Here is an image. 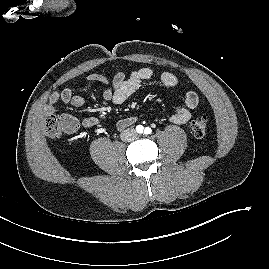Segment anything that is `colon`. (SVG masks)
I'll list each match as a JSON object with an SVG mask.
<instances>
[{"mask_svg": "<svg viewBox=\"0 0 269 269\" xmlns=\"http://www.w3.org/2000/svg\"><path fill=\"white\" fill-rule=\"evenodd\" d=\"M208 119L205 115L198 116L191 122V130L195 137L201 138L206 134ZM75 122L70 115L57 116L49 113L45 117V132L48 136L56 138L64 133L75 130Z\"/></svg>", "mask_w": 269, "mask_h": 269, "instance_id": "1", "label": "colon"}]
</instances>
